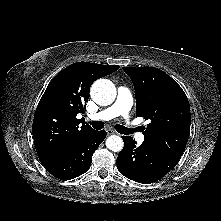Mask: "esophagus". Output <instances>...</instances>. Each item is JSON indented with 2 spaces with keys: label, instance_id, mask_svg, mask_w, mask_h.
<instances>
[{
  "label": "esophagus",
  "instance_id": "1",
  "mask_svg": "<svg viewBox=\"0 0 221 221\" xmlns=\"http://www.w3.org/2000/svg\"><path fill=\"white\" fill-rule=\"evenodd\" d=\"M107 135L116 134V132L113 129H107Z\"/></svg>",
  "mask_w": 221,
  "mask_h": 221
}]
</instances>
